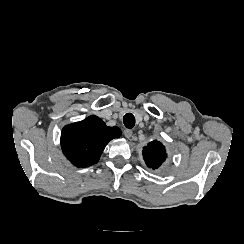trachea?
I'll return each mask as SVG.
<instances>
[{
	"instance_id": "trachea-1",
	"label": "trachea",
	"mask_w": 244,
	"mask_h": 244,
	"mask_svg": "<svg viewBox=\"0 0 244 244\" xmlns=\"http://www.w3.org/2000/svg\"><path fill=\"white\" fill-rule=\"evenodd\" d=\"M123 122L126 128H133L135 125V117L131 113H127L123 117Z\"/></svg>"
}]
</instances>
